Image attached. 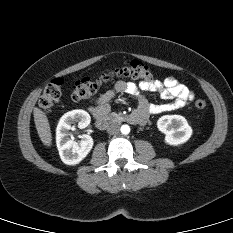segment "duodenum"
Returning a JSON list of instances; mask_svg holds the SVG:
<instances>
[{"instance_id":"1","label":"duodenum","mask_w":233,"mask_h":233,"mask_svg":"<svg viewBox=\"0 0 233 233\" xmlns=\"http://www.w3.org/2000/svg\"><path fill=\"white\" fill-rule=\"evenodd\" d=\"M116 119L114 116L101 114L96 117V125L99 129H106ZM147 116L139 111H135L126 117V120L132 124H144Z\"/></svg>"}]
</instances>
